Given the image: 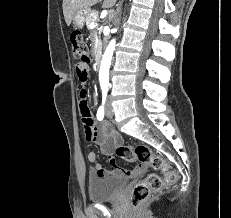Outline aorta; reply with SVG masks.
Returning a JSON list of instances; mask_svg holds the SVG:
<instances>
[{
	"mask_svg": "<svg viewBox=\"0 0 231 218\" xmlns=\"http://www.w3.org/2000/svg\"><path fill=\"white\" fill-rule=\"evenodd\" d=\"M115 44H116L115 39H112L108 44L104 52V55L102 57L100 70H99V81H100L101 89L103 91L107 90L109 86V69L111 65L113 52L115 49Z\"/></svg>",
	"mask_w": 231,
	"mask_h": 218,
	"instance_id": "aorta-1",
	"label": "aorta"
}]
</instances>
